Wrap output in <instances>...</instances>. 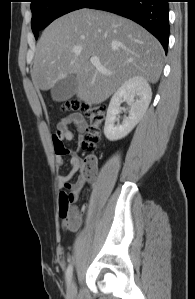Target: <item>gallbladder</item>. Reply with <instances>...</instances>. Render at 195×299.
Returning a JSON list of instances; mask_svg holds the SVG:
<instances>
[{
  "label": "gallbladder",
  "mask_w": 195,
  "mask_h": 299,
  "mask_svg": "<svg viewBox=\"0 0 195 299\" xmlns=\"http://www.w3.org/2000/svg\"><path fill=\"white\" fill-rule=\"evenodd\" d=\"M77 86L78 82L75 75H69L59 80L51 89L52 99L56 102L70 99L76 93Z\"/></svg>",
  "instance_id": "obj_1"
}]
</instances>
